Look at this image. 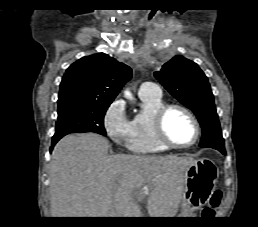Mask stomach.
Segmentation results:
<instances>
[{
    "mask_svg": "<svg viewBox=\"0 0 258 227\" xmlns=\"http://www.w3.org/2000/svg\"><path fill=\"white\" fill-rule=\"evenodd\" d=\"M217 178L218 168L210 159H199L188 166L184 172L181 212L176 217H188L205 205L215 190Z\"/></svg>",
    "mask_w": 258,
    "mask_h": 227,
    "instance_id": "stomach-1",
    "label": "stomach"
}]
</instances>
